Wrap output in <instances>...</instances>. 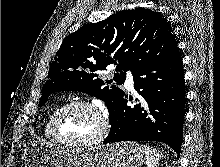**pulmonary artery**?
Listing matches in <instances>:
<instances>
[{"label": "pulmonary artery", "instance_id": "pulmonary-artery-1", "mask_svg": "<svg viewBox=\"0 0 220 167\" xmlns=\"http://www.w3.org/2000/svg\"><path fill=\"white\" fill-rule=\"evenodd\" d=\"M125 87L130 91L133 89V78L131 75L127 76L125 81Z\"/></svg>", "mask_w": 220, "mask_h": 167}]
</instances>
